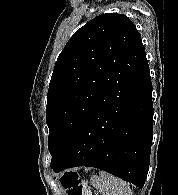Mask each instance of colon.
<instances>
[{"mask_svg": "<svg viewBox=\"0 0 178 195\" xmlns=\"http://www.w3.org/2000/svg\"><path fill=\"white\" fill-rule=\"evenodd\" d=\"M61 184L68 190V195H91L76 172H67L61 178Z\"/></svg>", "mask_w": 178, "mask_h": 195, "instance_id": "colon-1", "label": "colon"}]
</instances>
